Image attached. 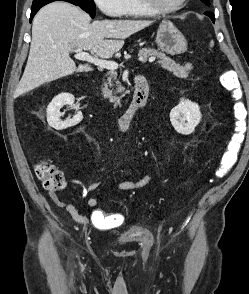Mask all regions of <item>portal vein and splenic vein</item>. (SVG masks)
I'll list each match as a JSON object with an SVG mask.
<instances>
[{"label":"portal vein and splenic vein","instance_id":"obj_1","mask_svg":"<svg viewBox=\"0 0 249 294\" xmlns=\"http://www.w3.org/2000/svg\"><path fill=\"white\" fill-rule=\"evenodd\" d=\"M75 53V58L78 60L87 61L99 67L106 68L109 70H116L118 68V63H116L115 61L95 58L91 56L89 53L83 52L81 49L75 50ZM155 59V57H151L148 59V61L152 63L155 61ZM139 60L145 61V57H140Z\"/></svg>","mask_w":249,"mask_h":294}]
</instances>
